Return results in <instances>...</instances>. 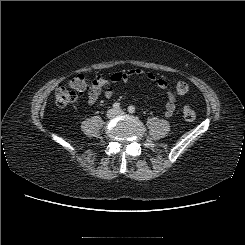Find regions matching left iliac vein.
Masks as SVG:
<instances>
[{
	"instance_id": "1",
	"label": "left iliac vein",
	"mask_w": 245,
	"mask_h": 245,
	"mask_svg": "<svg viewBox=\"0 0 245 245\" xmlns=\"http://www.w3.org/2000/svg\"><path fill=\"white\" fill-rule=\"evenodd\" d=\"M124 113H125V112H124L123 110H117V111H116V114H117V115H123Z\"/></svg>"
}]
</instances>
